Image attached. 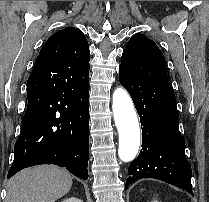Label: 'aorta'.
<instances>
[{
    "label": "aorta",
    "mask_w": 209,
    "mask_h": 202,
    "mask_svg": "<svg viewBox=\"0 0 209 202\" xmlns=\"http://www.w3.org/2000/svg\"><path fill=\"white\" fill-rule=\"evenodd\" d=\"M112 109L119 134V158L132 161L139 150L140 129L133 102L124 88L114 91Z\"/></svg>",
    "instance_id": "1"
}]
</instances>
